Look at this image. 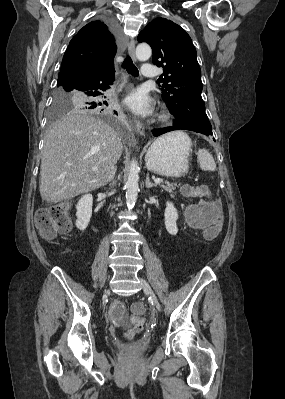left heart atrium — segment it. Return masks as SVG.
Returning a JSON list of instances; mask_svg holds the SVG:
<instances>
[{"instance_id":"39dd6f15","label":"left heart atrium","mask_w":285,"mask_h":399,"mask_svg":"<svg viewBox=\"0 0 285 399\" xmlns=\"http://www.w3.org/2000/svg\"><path fill=\"white\" fill-rule=\"evenodd\" d=\"M125 104L131 111L140 116H148L153 112L152 100L141 89L132 91L125 98Z\"/></svg>"}]
</instances>
